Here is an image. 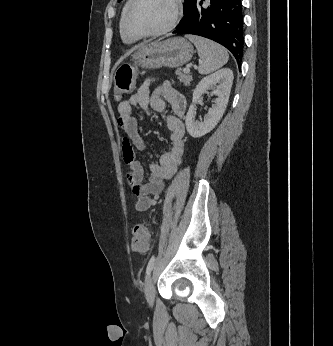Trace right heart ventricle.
Instances as JSON below:
<instances>
[{
	"label": "right heart ventricle",
	"mask_w": 333,
	"mask_h": 346,
	"mask_svg": "<svg viewBox=\"0 0 333 346\" xmlns=\"http://www.w3.org/2000/svg\"><path fill=\"white\" fill-rule=\"evenodd\" d=\"M131 3V0H127L122 8V11H121V15H120V19H119V32H120V35H121V38L124 42H127V43H132L134 42V39L133 38H130L128 37L125 33H124V30H123V20H124V16L126 14V11L129 7Z\"/></svg>",
	"instance_id": "1"
}]
</instances>
